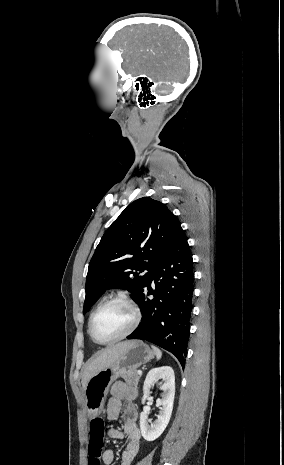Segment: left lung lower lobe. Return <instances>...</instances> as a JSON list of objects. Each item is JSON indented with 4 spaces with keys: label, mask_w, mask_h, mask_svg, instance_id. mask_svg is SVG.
I'll use <instances>...</instances> for the list:
<instances>
[{
    "label": "left lung lower lobe",
    "mask_w": 284,
    "mask_h": 465,
    "mask_svg": "<svg viewBox=\"0 0 284 465\" xmlns=\"http://www.w3.org/2000/svg\"><path fill=\"white\" fill-rule=\"evenodd\" d=\"M193 291L192 255L180 227L174 242L146 279L137 300L143 314L142 321L127 338L146 340L164 348L174 354L184 367L190 338Z\"/></svg>",
    "instance_id": "obj_1"
}]
</instances>
